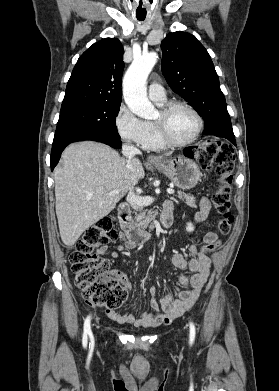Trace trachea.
Instances as JSON below:
<instances>
[{"instance_id":"1","label":"trachea","mask_w":279,"mask_h":391,"mask_svg":"<svg viewBox=\"0 0 279 391\" xmlns=\"http://www.w3.org/2000/svg\"><path fill=\"white\" fill-rule=\"evenodd\" d=\"M138 20H141V21H143V20H144V18H138Z\"/></svg>"}]
</instances>
